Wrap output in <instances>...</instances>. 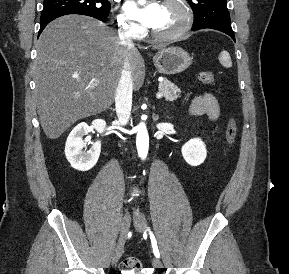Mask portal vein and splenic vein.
<instances>
[{"label": "portal vein and splenic vein", "instance_id": "portal-vein-and-splenic-vein-1", "mask_svg": "<svg viewBox=\"0 0 289 274\" xmlns=\"http://www.w3.org/2000/svg\"><path fill=\"white\" fill-rule=\"evenodd\" d=\"M163 96V94L162 93H157V95H156V97L158 98V99H160L161 97Z\"/></svg>", "mask_w": 289, "mask_h": 274}]
</instances>
